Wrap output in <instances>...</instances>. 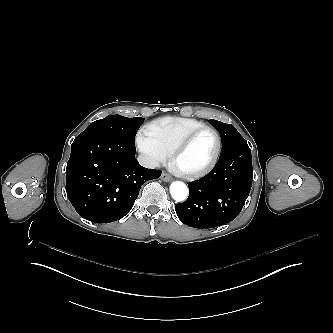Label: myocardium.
Wrapping results in <instances>:
<instances>
[{"label": "myocardium", "mask_w": 333, "mask_h": 333, "mask_svg": "<svg viewBox=\"0 0 333 333\" xmlns=\"http://www.w3.org/2000/svg\"><path fill=\"white\" fill-rule=\"evenodd\" d=\"M205 130H208V131L213 133V135L215 136V139H216V143H217L216 151H215V154H214L212 160L205 167H203L199 170H196V171H192V172L177 171L173 167V162L176 159V157L189 146V144L191 143V141L194 139V137L196 135H198L199 133H201ZM221 151H222V140H221V137H220L219 133L217 132V130L214 129L213 127L207 126V125L202 126V127H198V128H195V129L191 130L187 134H185L175 144V146L172 148V150H171V152L169 153V156H168V167L177 176L182 177L184 179H188V180L199 179L201 177H204L205 175H207L209 172H211L214 169V167L216 166V164L219 161Z\"/></svg>", "instance_id": "myocardium-1"}]
</instances>
